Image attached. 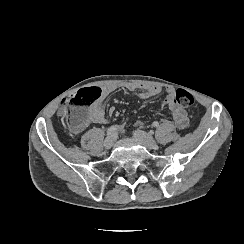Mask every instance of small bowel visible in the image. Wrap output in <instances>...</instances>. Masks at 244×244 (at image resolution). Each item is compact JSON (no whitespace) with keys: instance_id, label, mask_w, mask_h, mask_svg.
I'll use <instances>...</instances> for the list:
<instances>
[{"instance_id":"obj_1","label":"small bowel","mask_w":244,"mask_h":244,"mask_svg":"<svg viewBox=\"0 0 244 244\" xmlns=\"http://www.w3.org/2000/svg\"><path fill=\"white\" fill-rule=\"evenodd\" d=\"M128 90V91H136L137 86L132 83H126V84H117V83H108L105 84L102 87H98V90L100 91V98L94 102L91 106H89L91 110V119L89 123H97V124H105L107 123V116L105 113L104 108V100L112 93L118 91V90ZM161 92L160 87H150L147 88L141 92L138 93V96L143 99H150L156 95H158ZM167 97L163 100L162 105L164 107H168L172 114L174 119L175 126L182 130L185 129L188 126L189 118L188 114L185 109L175 105L172 101V95H173V89L167 88ZM138 125H141V122H138ZM166 125H169L168 122H166ZM80 133V132H79Z\"/></svg>"}]
</instances>
